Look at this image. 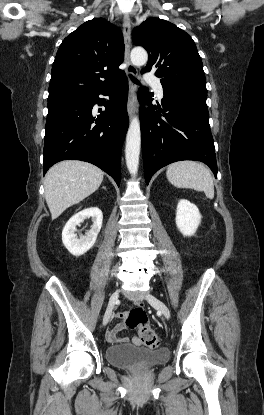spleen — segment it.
<instances>
[{"label": "spleen", "instance_id": "1", "mask_svg": "<svg viewBox=\"0 0 264 415\" xmlns=\"http://www.w3.org/2000/svg\"><path fill=\"white\" fill-rule=\"evenodd\" d=\"M166 176L175 187L203 191L208 198L214 197L212 175L201 163L195 161L172 163L167 167Z\"/></svg>", "mask_w": 264, "mask_h": 415}]
</instances>
